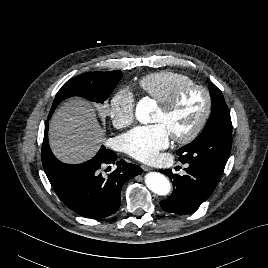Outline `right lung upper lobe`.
Wrapping results in <instances>:
<instances>
[{
  "instance_id": "obj_1",
  "label": "right lung upper lobe",
  "mask_w": 268,
  "mask_h": 268,
  "mask_svg": "<svg viewBox=\"0 0 268 268\" xmlns=\"http://www.w3.org/2000/svg\"><path fill=\"white\" fill-rule=\"evenodd\" d=\"M104 73L106 75L115 76L118 73H120V71H111V72H104ZM78 79H79V81L77 84V92H96V91H98V89L100 87V82L98 80H96L94 77L89 76L88 72L79 75ZM63 89H64V87L61 88L59 93H61L63 91ZM70 96H78V94L74 93V92H68V93L64 94L62 96V98L63 97H70ZM59 103H60L59 100H57L52 105L48 119H50L53 111L55 110V108L57 107V105ZM45 127H46V125H45ZM42 162H43V166H45L48 170L54 171V172L60 173V170L63 167V164L61 162H59L52 154V152L49 148L47 135L44 136V141H43V146H42Z\"/></svg>"
}]
</instances>
